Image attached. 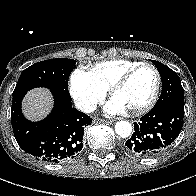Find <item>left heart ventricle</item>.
<instances>
[{
  "label": "left heart ventricle",
  "instance_id": "1",
  "mask_svg": "<svg viewBox=\"0 0 196 196\" xmlns=\"http://www.w3.org/2000/svg\"><path fill=\"white\" fill-rule=\"evenodd\" d=\"M156 85V75L150 68L138 71L130 81L115 93L113 99L121 103L127 110L136 109L151 98Z\"/></svg>",
  "mask_w": 196,
  "mask_h": 196
}]
</instances>
